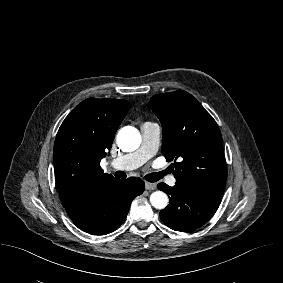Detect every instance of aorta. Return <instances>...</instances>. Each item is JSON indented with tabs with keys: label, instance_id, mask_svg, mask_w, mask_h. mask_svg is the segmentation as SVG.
<instances>
[{
	"label": "aorta",
	"instance_id": "762f6f07",
	"mask_svg": "<svg viewBox=\"0 0 283 283\" xmlns=\"http://www.w3.org/2000/svg\"><path fill=\"white\" fill-rule=\"evenodd\" d=\"M117 144L124 152H133L141 144L139 131L132 126L121 128L117 134ZM168 196L162 191H155L150 195V203L156 209H164L168 205Z\"/></svg>",
	"mask_w": 283,
	"mask_h": 283
}]
</instances>
